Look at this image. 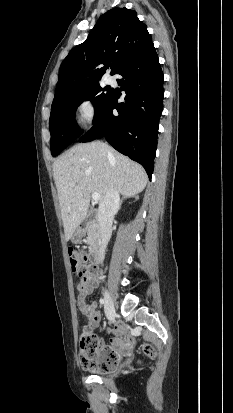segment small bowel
Returning a JSON list of instances; mask_svg holds the SVG:
<instances>
[{
  "label": "small bowel",
  "mask_w": 233,
  "mask_h": 413,
  "mask_svg": "<svg viewBox=\"0 0 233 413\" xmlns=\"http://www.w3.org/2000/svg\"><path fill=\"white\" fill-rule=\"evenodd\" d=\"M97 283V279L93 278L88 286L79 290V294L76 298V304L80 313L87 318L92 326H97L100 323L101 314L98 310L97 303H87L86 297L93 292ZM111 334L110 345H105L103 342L99 341L101 354L104 355L107 350L115 352L118 356L127 354L133 341L131 337L127 335L126 328L122 324H116Z\"/></svg>",
  "instance_id": "obj_1"
}]
</instances>
